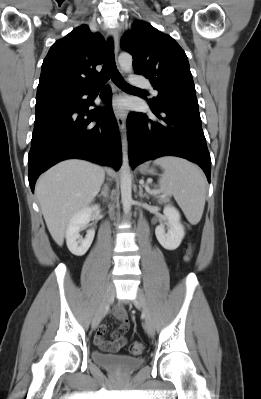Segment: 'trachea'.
<instances>
[{"mask_svg": "<svg viewBox=\"0 0 261 399\" xmlns=\"http://www.w3.org/2000/svg\"><path fill=\"white\" fill-rule=\"evenodd\" d=\"M110 78L119 88L138 89L128 84L118 72L114 60L112 41H109L106 59L100 74L90 79V83H92L93 88H101Z\"/></svg>", "mask_w": 261, "mask_h": 399, "instance_id": "1", "label": "trachea"}]
</instances>
